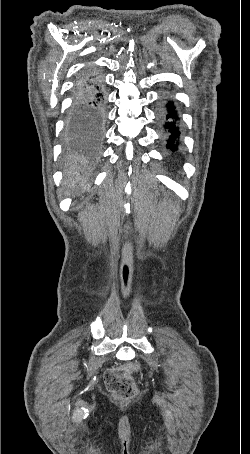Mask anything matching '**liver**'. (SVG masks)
Masks as SVG:
<instances>
[{"mask_svg":"<svg viewBox=\"0 0 250 454\" xmlns=\"http://www.w3.org/2000/svg\"><path fill=\"white\" fill-rule=\"evenodd\" d=\"M75 183H76V181H74V180L72 181V180H71V182H70V185H69V186H70V187H71V186H74V185H75Z\"/></svg>","mask_w":250,"mask_h":454,"instance_id":"liver-1","label":"liver"}]
</instances>
